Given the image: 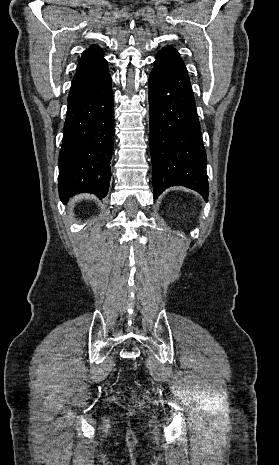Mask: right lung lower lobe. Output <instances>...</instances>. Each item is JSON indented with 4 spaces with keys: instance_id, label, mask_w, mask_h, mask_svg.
<instances>
[{
    "instance_id": "98d812e1",
    "label": "right lung lower lobe",
    "mask_w": 279,
    "mask_h": 465,
    "mask_svg": "<svg viewBox=\"0 0 279 465\" xmlns=\"http://www.w3.org/2000/svg\"><path fill=\"white\" fill-rule=\"evenodd\" d=\"M110 74L87 94L68 104L59 154V196L63 203L76 193L109 190L114 140Z\"/></svg>"
}]
</instances>
